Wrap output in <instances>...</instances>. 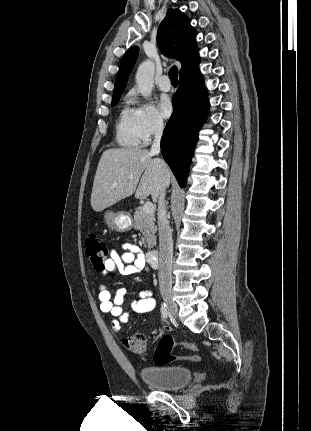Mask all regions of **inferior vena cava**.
Here are the masks:
<instances>
[{"label":"inferior vena cava","mask_w":311,"mask_h":431,"mask_svg":"<svg viewBox=\"0 0 311 431\" xmlns=\"http://www.w3.org/2000/svg\"><path fill=\"white\" fill-rule=\"evenodd\" d=\"M163 134V122L159 120L155 124L154 140L150 148L152 156H159L161 152V138ZM163 190L158 198V231H159V285L162 295H169L172 291V257L173 241L172 231L166 216V190L169 184L163 182Z\"/></svg>","instance_id":"obj_1"}]
</instances>
